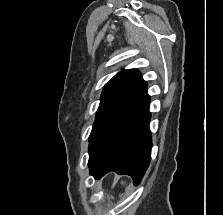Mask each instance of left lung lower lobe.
Masks as SVG:
<instances>
[{
	"mask_svg": "<svg viewBox=\"0 0 223 215\" xmlns=\"http://www.w3.org/2000/svg\"><path fill=\"white\" fill-rule=\"evenodd\" d=\"M150 97L146 94L110 131L88 162L90 174L100 178L110 171L127 174L138 185L151 159Z\"/></svg>",
	"mask_w": 223,
	"mask_h": 215,
	"instance_id": "left-lung-lower-lobe-1",
	"label": "left lung lower lobe"
}]
</instances>
